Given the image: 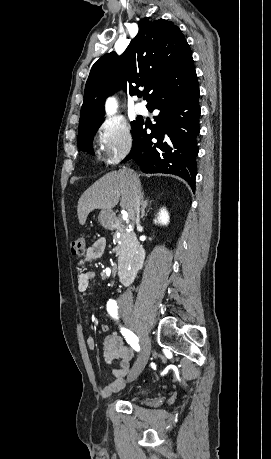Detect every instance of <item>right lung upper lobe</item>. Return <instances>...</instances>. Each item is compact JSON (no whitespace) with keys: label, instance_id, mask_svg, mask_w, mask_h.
<instances>
[{"label":"right lung upper lobe","instance_id":"obj_1","mask_svg":"<svg viewBox=\"0 0 271 459\" xmlns=\"http://www.w3.org/2000/svg\"><path fill=\"white\" fill-rule=\"evenodd\" d=\"M194 70L191 49L179 27L164 19L141 21L138 34L120 57L111 52L92 66L80 122L103 117L105 98L120 87L139 95L142 86L149 99L168 82Z\"/></svg>","mask_w":271,"mask_h":459}]
</instances>
